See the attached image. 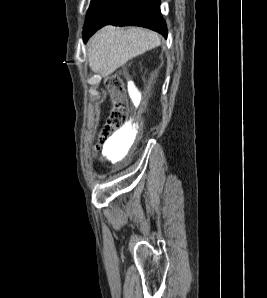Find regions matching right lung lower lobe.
<instances>
[{"mask_svg":"<svg viewBox=\"0 0 267 298\" xmlns=\"http://www.w3.org/2000/svg\"><path fill=\"white\" fill-rule=\"evenodd\" d=\"M107 24L147 27L167 38L166 24L160 13V0H108L95 18L85 23L84 41Z\"/></svg>","mask_w":267,"mask_h":298,"instance_id":"obj_1","label":"right lung lower lobe"}]
</instances>
